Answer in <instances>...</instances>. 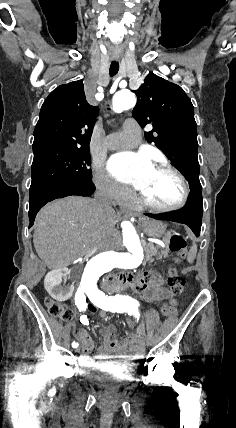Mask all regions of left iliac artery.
<instances>
[{"mask_svg": "<svg viewBox=\"0 0 236 428\" xmlns=\"http://www.w3.org/2000/svg\"><path fill=\"white\" fill-rule=\"evenodd\" d=\"M86 294L94 305L105 311L123 313L135 310L140 305L137 300L125 295L108 297L102 291H86Z\"/></svg>", "mask_w": 236, "mask_h": 428, "instance_id": "left-iliac-artery-1", "label": "left iliac artery"}]
</instances>
